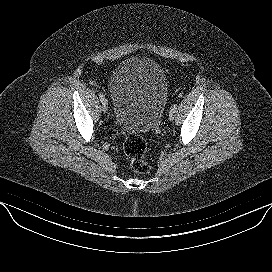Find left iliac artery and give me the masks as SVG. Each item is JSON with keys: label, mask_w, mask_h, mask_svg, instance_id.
Wrapping results in <instances>:
<instances>
[{"label": "left iliac artery", "mask_w": 272, "mask_h": 272, "mask_svg": "<svg viewBox=\"0 0 272 272\" xmlns=\"http://www.w3.org/2000/svg\"><path fill=\"white\" fill-rule=\"evenodd\" d=\"M177 109V103L173 104L171 107V110H176Z\"/></svg>", "instance_id": "44dca946"}]
</instances>
